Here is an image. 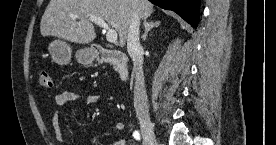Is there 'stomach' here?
I'll return each instance as SVG.
<instances>
[{
	"label": "stomach",
	"instance_id": "obj_1",
	"mask_svg": "<svg viewBox=\"0 0 276 145\" xmlns=\"http://www.w3.org/2000/svg\"><path fill=\"white\" fill-rule=\"evenodd\" d=\"M49 53L54 62L60 65H66L71 59L72 49L66 42L56 39L49 43ZM76 59L79 63L88 65L96 58V51L93 47L84 48L76 52Z\"/></svg>",
	"mask_w": 276,
	"mask_h": 145
}]
</instances>
